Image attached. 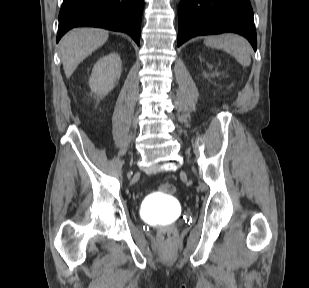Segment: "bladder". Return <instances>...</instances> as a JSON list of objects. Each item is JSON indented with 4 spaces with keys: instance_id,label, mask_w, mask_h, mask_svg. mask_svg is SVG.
Masks as SVG:
<instances>
[{
    "instance_id": "1",
    "label": "bladder",
    "mask_w": 309,
    "mask_h": 288,
    "mask_svg": "<svg viewBox=\"0 0 309 288\" xmlns=\"http://www.w3.org/2000/svg\"><path fill=\"white\" fill-rule=\"evenodd\" d=\"M171 197V194L164 193L160 197L148 198L143 208L144 217L152 223L175 217L178 213V205Z\"/></svg>"
}]
</instances>
